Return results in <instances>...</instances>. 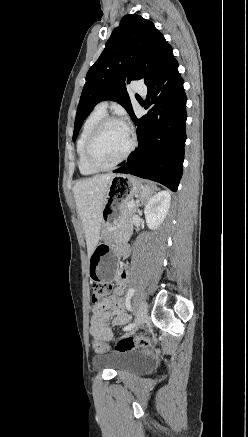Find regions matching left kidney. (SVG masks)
I'll return each mask as SVG.
<instances>
[{
  "mask_svg": "<svg viewBox=\"0 0 248 437\" xmlns=\"http://www.w3.org/2000/svg\"><path fill=\"white\" fill-rule=\"evenodd\" d=\"M171 202V195L168 191L163 190L152 196L145 205L144 214L147 226L150 229H156L164 221Z\"/></svg>",
  "mask_w": 248,
  "mask_h": 437,
  "instance_id": "obj_1",
  "label": "left kidney"
}]
</instances>
